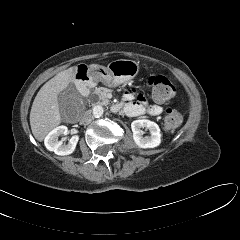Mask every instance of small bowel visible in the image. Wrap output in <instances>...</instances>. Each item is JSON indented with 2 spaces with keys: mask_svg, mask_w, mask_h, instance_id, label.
Returning a JSON list of instances; mask_svg holds the SVG:
<instances>
[{
  "mask_svg": "<svg viewBox=\"0 0 240 240\" xmlns=\"http://www.w3.org/2000/svg\"><path fill=\"white\" fill-rule=\"evenodd\" d=\"M125 114L131 117L145 114L158 116L163 112V107L159 104H148L143 95L136 96L134 88L128 89L122 95L121 103L118 105Z\"/></svg>",
  "mask_w": 240,
  "mask_h": 240,
  "instance_id": "c3829d8e",
  "label": "small bowel"
}]
</instances>
